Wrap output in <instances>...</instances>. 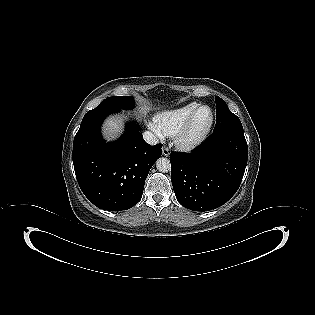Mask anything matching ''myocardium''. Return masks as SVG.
I'll use <instances>...</instances> for the list:
<instances>
[{
  "label": "myocardium",
  "instance_id": "1",
  "mask_svg": "<svg viewBox=\"0 0 315 315\" xmlns=\"http://www.w3.org/2000/svg\"><path fill=\"white\" fill-rule=\"evenodd\" d=\"M208 109L211 114L210 121L207 127L197 136H190V130L192 124L198 114V112L202 109ZM215 121V114L211 106L206 104L199 105L188 117L185 123L180 127V129L174 135V143L177 148L182 151H191L198 146H200L209 136Z\"/></svg>",
  "mask_w": 315,
  "mask_h": 315
}]
</instances>
